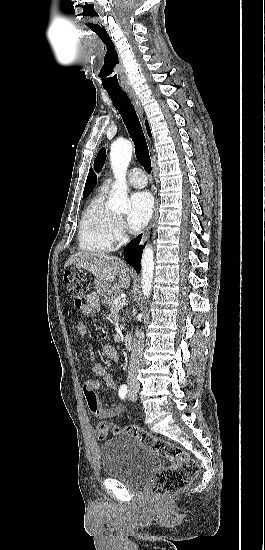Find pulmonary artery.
Instances as JSON below:
<instances>
[{
  "label": "pulmonary artery",
  "instance_id": "1",
  "mask_svg": "<svg viewBox=\"0 0 265 550\" xmlns=\"http://www.w3.org/2000/svg\"><path fill=\"white\" fill-rule=\"evenodd\" d=\"M128 183L134 188H144L147 185V179L144 172L141 169H132L128 175ZM114 184L112 178L107 179L102 188L108 190Z\"/></svg>",
  "mask_w": 265,
  "mask_h": 550
}]
</instances>
